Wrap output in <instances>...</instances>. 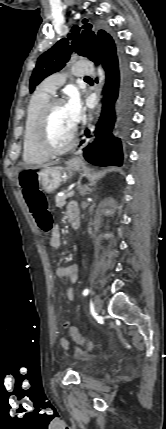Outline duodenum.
Segmentation results:
<instances>
[{
    "label": "duodenum",
    "mask_w": 166,
    "mask_h": 429,
    "mask_svg": "<svg viewBox=\"0 0 166 429\" xmlns=\"http://www.w3.org/2000/svg\"><path fill=\"white\" fill-rule=\"evenodd\" d=\"M70 223L73 229H77L80 226L79 212L71 211L69 214Z\"/></svg>",
    "instance_id": "obj_1"
}]
</instances>
